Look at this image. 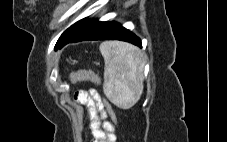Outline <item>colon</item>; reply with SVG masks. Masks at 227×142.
I'll list each match as a JSON object with an SVG mask.
<instances>
[{"instance_id":"colon-1","label":"colon","mask_w":227,"mask_h":142,"mask_svg":"<svg viewBox=\"0 0 227 142\" xmlns=\"http://www.w3.org/2000/svg\"><path fill=\"white\" fill-rule=\"evenodd\" d=\"M70 79H71L72 82H76V81H80V80H91V81H94L96 83H100L99 77L91 71L75 72L71 75ZM104 104H105V107L107 109L109 116L111 117V119L113 121H115L116 117H115V113H114L111 105L107 101H104Z\"/></svg>"}]
</instances>
